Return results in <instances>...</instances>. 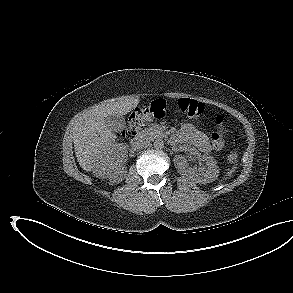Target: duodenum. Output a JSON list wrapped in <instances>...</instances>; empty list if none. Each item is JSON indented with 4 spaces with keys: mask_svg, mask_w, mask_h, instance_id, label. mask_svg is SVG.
I'll return each mask as SVG.
<instances>
[{
    "mask_svg": "<svg viewBox=\"0 0 293 293\" xmlns=\"http://www.w3.org/2000/svg\"><path fill=\"white\" fill-rule=\"evenodd\" d=\"M141 139H142L141 135L139 133L136 134L131 140L132 148H136L140 144Z\"/></svg>",
    "mask_w": 293,
    "mask_h": 293,
    "instance_id": "1",
    "label": "duodenum"
}]
</instances>
